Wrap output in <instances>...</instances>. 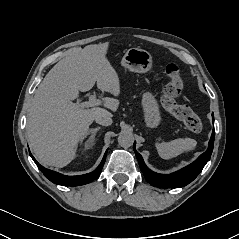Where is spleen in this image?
<instances>
[{
    "label": "spleen",
    "instance_id": "3e777b00",
    "mask_svg": "<svg viewBox=\"0 0 239 239\" xmlns=\"http://www.w3.org/2000/svg\"><path fill=\"white\" fill-rule=\"evenodd\" d=\"M196 140L191 138H179L165 143H156L158 154L163 159L177 157L185 151L193 150L196 147Z\"/></svg>",
    "mask_w": 239,
    "mask_h": 239
}]
</instances>
